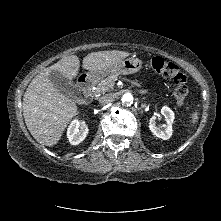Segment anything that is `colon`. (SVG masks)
Instances as JSON below:
<instances>
[{"label": "colon", "mask_w": 221, "mask_h": 221, "mask_svg": "<svg viewBox=\"0 0 221 221\" xmlns=\"http://www.w3.org/2000/svg\"><path fill=\"white\" fill-rule=\"evenodd\" d=\"M150 66L156 73L172 80L176 101L179 105H184L189 93L187 74L182 72L176 64L160 56L153 57Z\"/></svg>", "instance_id": "5ec220e1"}]
</instances>
